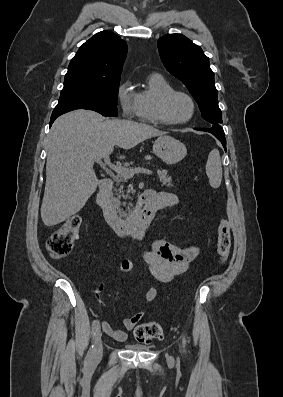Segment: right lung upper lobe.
Returning a JSON list of instances; mask_svg holds the SVG:
<instances>
[{
  "label": "right lung upper lobe",
  "mask_w": 283,
  "mask_h": 397,
  "mask_svg": "<svg viewBox=\"0 0 283 397\" xmlns=\"http://www.w3.org/2000/svg\"><path fill=\"white\" fill-rule=\"evenodd\" d=\"M127 55V44L116 34L102 31L86 41L71 59L68 72L118 79Z\"/></svg>",
  "instance_id": "cb5924a9"
}]
</instances>
